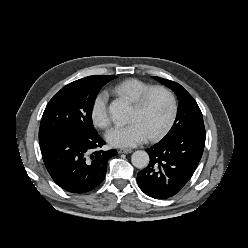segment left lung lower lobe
Segmentation results:
<instances>
[{"mask_svg":"<svg viewBox=\"0 0 248 248\" xmlns=\"http://www.w3.org/2000/svg\"><path fill=\"white\" fill-rule=\"evenodd\" d=\"M204 145L205 136L184 133L162 139L148 148L150 163L137 175L140 189L155 199H166L177 194L195 172Z\"/></svg>","mask_w":248,"mask_h":248,"instance_id":"obj_1","label":"left lung lower lobe"}]
</instances>
